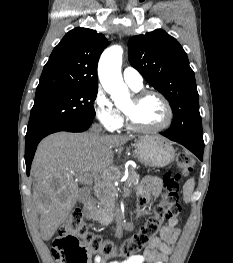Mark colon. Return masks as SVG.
Returning <instances> with one entry per match:
<instances>
[{"label": "colon", "instance_id": "colon-1", "mask_svg": "<svg viewBox=\"0 0 233 263\" xmlns=\"http://www.w3.org/2000/svg\"><path fill=\"white\" fill-rule=\"evenodd\" d=\"M191 165V157L188 154L178 153L175 171L164 176L165 193L162 203L155 208V214L120 246L90 231L84 221L82 211L74 210L55 240L52 249L54 257L59 263H91L95 256L103 258L116 256L127 259L140 254L156 237L164 220L181 218L178 181L189 175Z\"/></svg>", "mask_w": 233, "mask_h": 263}]
</instances>
